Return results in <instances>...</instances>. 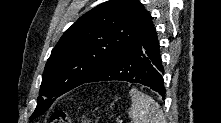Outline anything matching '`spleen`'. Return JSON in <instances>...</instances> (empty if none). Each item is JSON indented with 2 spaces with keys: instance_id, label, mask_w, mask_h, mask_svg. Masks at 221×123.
I'll list each match as a JSON object with an SVG mask.
<instances>
[{
  "instance_id": "obj_1",
  "label": "spleen",
  "mask_w": 221,
  "mask_h": 123,
  "mask_svg": "<svg viewBox=\"0 0 221 123\" xmlns=\"http://www.w3.org/2000/svg\"><path fill=\"white\" fill-rule=\"evenodd\" d=\"M129 95L132 100L129 108L132 123H164L162 109L155 100L134 88Z\"/></svg>"
}]
</instances>
